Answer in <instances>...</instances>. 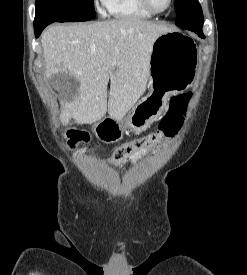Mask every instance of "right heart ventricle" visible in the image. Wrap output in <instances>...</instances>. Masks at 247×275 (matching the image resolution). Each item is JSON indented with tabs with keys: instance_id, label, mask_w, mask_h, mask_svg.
Wrapping results in <instances>:
<instances>
[{
	"instance_id": "1",
	"label": "right heart ventricle",
	"mask_w": 247,
	"mask_h": 275,
	"mask_svg": "<svg viewBox=\"0 0 247 275\" xmlns=\"http://www.w3.org/2000/svg\"><path fill=\"white\" fill-rule=\"evenodd\" d=\"M107 10L117 19H149L154 14L146 10L140 0H108Z\"/></svg>"
}]
</instances>
